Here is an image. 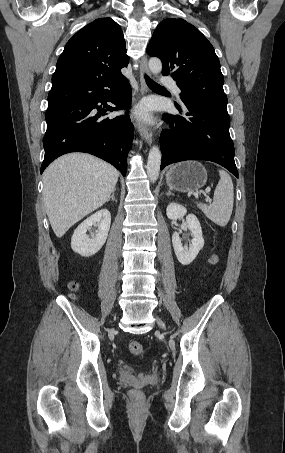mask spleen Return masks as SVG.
I'll use <instances>...</instances> for the list:
<instances>
[{
	"label": "spleen",
	"mask_w": 285,
	"mask_h": 453,
	"mask_svg": "<svg viewBox=\"0 0 285 453\" xmlns=\"http://www.w3.org/2000/svg\"><path fill=\"white\" fill-rule=\"evenodd\" d=\"M220 180L214 191L213 202L209 205L197 204L198 208L215 224L224 227L228 224L234 203V188L230 175L219 170Z\"/></svg>",
	"instance_id": "3e777b00"
}]
</instances>
